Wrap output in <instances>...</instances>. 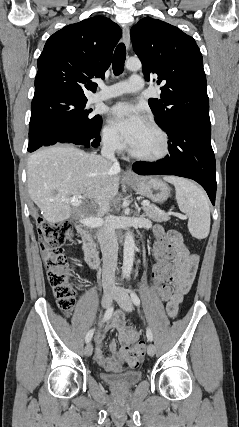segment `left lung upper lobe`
Wrapping results in <instances>:
<instances>
[{
    "label": "left lung upper lobe",
    "instance_id": "left-lung-upper-lobe-1",
    "mask_svg": "<svg viewBox=\"0 0 239 427\" xmlns=\"http://www.w3.org/2000/svg\"><path fill=\"white\" fill-rule=\"evenodd\" d=\"M146 80L161 84V99L149 106L161 128L180 120L210 123L203 58L195 40L164 21L146 17L130 31Z\"/></svg>",
    "mask_w": 239,
    "mask_h": 427
}]
</instances>
